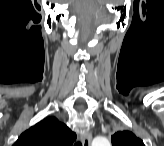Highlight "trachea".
I'll use <instances>...</instances> for the list:
<instances>
[{
	"mask_svg": "<svg viewBox=\"0 0 164 146\" xmlns=\"http://www.w3.org/2000/svg\"><path fill=\"white\" fill-rule=\"evenodd\" d=\"M76 146H81V143L78 142V143L76 144Z\"/></svg>",
	"mask_w": 164,
	"mask_h": 146,
	"instance_id": "1",
	"label": "trachea"
}]
</instances>
